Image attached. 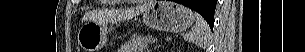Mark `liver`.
<instances>
[{"label": "liver", "mask_w": 305, "mask_h": 52, "mask_svg": "<svg viewBox=\"0 0 305 52\" xmlns=\"http://www.w3.org/2000/svg\"><path fill=\"white\" fill-rule=\"evenodd\" d=\"M153 4V1H148L147 3H144L143 5H138L133 8L129 9H116V10H110L107 11L105 16L110 21H124L133 17H136L140 13H143L145 10H147L151 5ZM94 13L89 12L84 17L83 20L87 21L94 18Z\"/></svg>", "instance_id": "liver-1"}]
</instances>
